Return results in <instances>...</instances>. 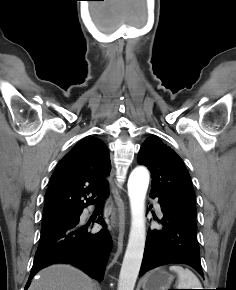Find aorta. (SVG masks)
<instances>
[{
    "label": "aorta",
    "mask_w": 236,
    "mask_h": 290,
    "mask_svg": "<svg viewBox=\"0 0 236 290\" xmlns=\"http://www.w3.org/2000/svg\"><path fill=\"white\" fill-rule=\"evenodd\" d=\"M149 178V173L144 167L135 168L129 176L131 228L119 275L118 290H134L139 274L146 240L145 198Z\"/></svg>",
    "instance_id": "obj_1"
}]
</instances>
